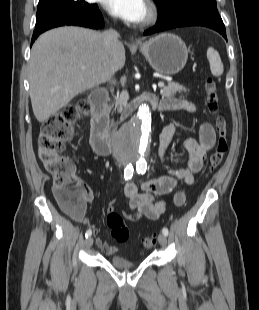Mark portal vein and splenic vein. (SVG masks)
Here are the masks:
<instances>
[{
    "mask_svg": "<svg viewBox=\"0 0 259 310\" xmlns=\"http://www.w3.org/2000/svg\"><path fill=\"white\" fill-rule=\"evenodd\" d=\"M82 68L84 69L85 66H82ZM164 85H165L164 82H159V83H158V87H164Z\"/></svg>",
    "mask_w": 259,
    "mask_h": 310,
    "instance_id": "portal-vein-and-splenic-vein-1",
    "label": "portal vein and splenic vein"
}]
</instances>
